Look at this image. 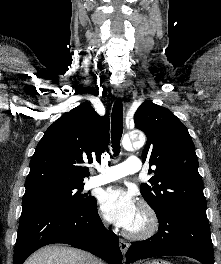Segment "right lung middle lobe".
<instances>
[{
	"instance_id": "1",
	"label": "right lung middle lobe",
	"mask_w": 221,
	"mask_h": 264,
	"mask_svg": "<svg viewBox=\"0 0 221 264\" xmlns=\"http://www.w3.org/2000/svg\"><path fill=\"white\" fill-rule=\"evenodd\" d=\"M83 183L54 182L26 189L22 207H44L79 211L92 206L96 199L81 194Z\"/></svg>"
}]
</instances>
